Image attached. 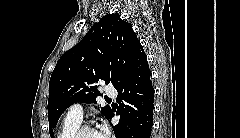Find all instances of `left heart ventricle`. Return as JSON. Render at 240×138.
<instances>
[{
	"instance_id": "1",
	"label": "left heart ventricle",
	"mask_w": 240,
	"mask_h": 138,
	"mask_svg": "<svg viewBox=\"0 0 240 138\" xmlns=\"http://www.w3.org/2000/svg\"><path fill=\"white\" fill-rule=\"evenodd\" d=\"M81 138H99V137H98L96 130L91 129V130L85 131L82 134Z\"/></svg>"
}]
</instances>
